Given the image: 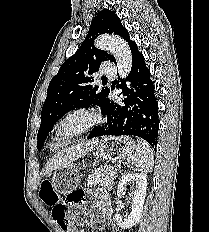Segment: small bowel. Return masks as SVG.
Segmentation results:
<instances>
[{"instance_id":"1","label":"small bowel","mask_w":209,"mask_h":232,"mask_svg":"<svg viewBox=\"0 0 209 232\" xmlns=\"http://www.w3.org/2000/svg\"><path fill=\"white\" fill-rule=\"evenodd\" d=\"M88 185H77V190H70L69 194H66L64 201L65 209L67 213H78V208H82V205L86 203L88 198ZM95 207L100 211L104 220H107L111 216L110 200L106 193L99 191L95 195ZM65 232H85L79 230L74 225H68ZM96 232H103L102 229L97 228Z\"/></svg>"}]
</instances>
